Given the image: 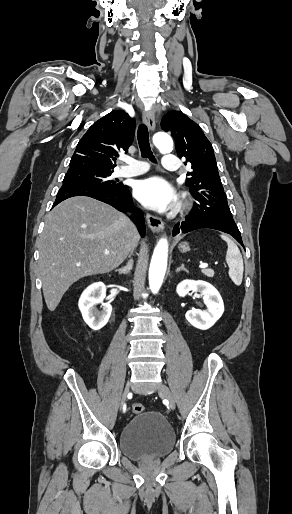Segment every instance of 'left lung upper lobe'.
Masks as SVG:
<instances>
[{
    "instance_id": "1",
    "label": "left lung upper lobe",
    "mask_w": 292,
    "mask_h": 514,
    "mask_svg": "<svg viewBox=\"0 0 292 514\" xmlns=\"http://www.w3.org/2000/svg\"><path fill=\"white\" fill-rule=\"evenodd\" d=\"M161 127L171 132L176 151L191 167L186 185L196 202L193 208L201 216L233 218L218 173L213 147L197 123L179 111H169Z\"/></svg>"
}]
</instances>
